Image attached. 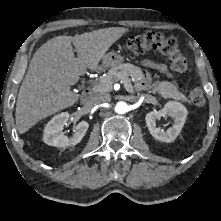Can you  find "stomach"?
I'll return each instance as SVG.
<instances>
[{
	"mask_svg": "<svg viewBox=\"0 0 221 221\" xmlns=\"http://www.w3.org/2000/svg\"><path fill=\"white\" fill-rule=\"evenodd\" d=\"M124 57L115 52H110L102 58V64L104 67H116L123 63Z\"/></svg>",
	"mask_w": 221,
	"mask_h": 221,
	"instance_id": "obj_1",
	"label": "stomach"
}]
</instances>
